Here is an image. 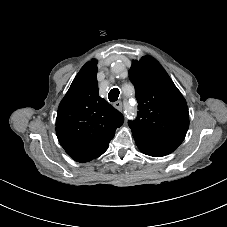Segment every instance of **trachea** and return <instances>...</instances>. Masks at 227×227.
Segmentation results:
<instances>
[{
    "label": "trachea",
    "instance_id": "3493384b",
    "mask_svg": "<svg viewBox=\"0 0 227 227\" xmlns=\"http://www.w3.org/2000/svg\"><path fill=\"white\" fill-rule=\"evenodd\" d=\"M120 91L118 88H113L109 94H108V99L110 100V102H115L118 100Z\"/></svg>",
    "mask_w": 227,
    "mask_h": 227
}]
</instances>
